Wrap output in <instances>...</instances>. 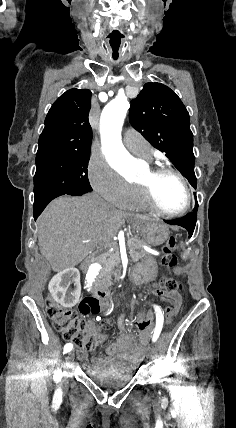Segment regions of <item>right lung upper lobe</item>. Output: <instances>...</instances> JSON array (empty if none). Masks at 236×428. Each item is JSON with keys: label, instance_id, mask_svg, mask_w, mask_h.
Returning a JSON list of instances; mask_svg holds the SVG:
<instances>
[{"label": "right lung upper lobe", "instance_id": "obj_1", "mask_svg": "<svg viewBox=\"0 0 236 428\" xmlns=\"http://www.w3.org/2000/svg\"><path fill=\"white\" fill-rule=\"evenodd\" d=\"M91 91L70 89L50 108L37 152H90L92 129L88 122Z\"/></svg>", "mask_w": 236, "mask_h": 428}]
</instances>
